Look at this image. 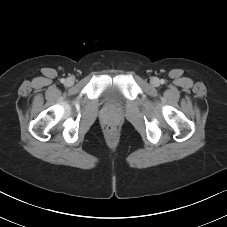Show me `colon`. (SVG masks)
<instances>
[{"label": "colon", "instance_id": "obj_1", "mask_svg": "<svg viewBox=\"0 0 227 227\" xmlns=\"http://www.w3.org/2000/svg\"><path fill=\"white\" fill-rule=\"evenodd\" d=\"M108 136L113 137L115 135L116 129L113 125H108L105 129Z\"/></svg>", "mask_w": 227, "mask_h": 227}]
</instances>
